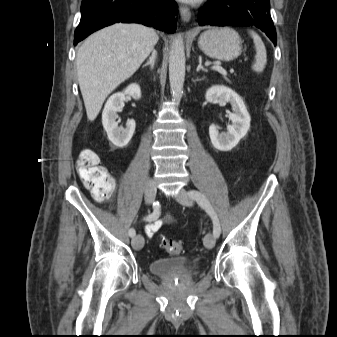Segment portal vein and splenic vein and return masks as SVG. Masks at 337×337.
Returning <instances> with one entry per match:
<instances>
[{
	"mask_svg": "<svg viewBox=\"0 0 337 337\" xmlns=\"http://www.w3.org/2000/svg\"><path fill=\"white\" fill-rule=\"evenodd\" d=\"M212 69L215 70V71H218L219 73H221L223 75H227L226 70L221 66H213Z\"/></svg>",
	"mask_w": 337,
	"mask_h": 337,
	"instance_id": "obj_1",
	"label": "portal vein and splenic vein"
}]
</instances>
